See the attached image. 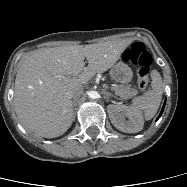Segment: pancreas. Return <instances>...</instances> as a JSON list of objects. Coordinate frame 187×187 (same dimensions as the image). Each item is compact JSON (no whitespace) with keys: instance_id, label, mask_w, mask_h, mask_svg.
<instances>
[{"instance_id":"1","label":"pancreas","mask_w":187,"mask_h":187,"mask_svg":"<svg viewBox=\"0 0 187 187\" xmlns=\"http://www.w3.org/2000/svg\"><path fill=\"white\" fill-rule=\"evenodd\" d=\"M115 94L122 99H129L138 94L136 88L130 86L118 85L114 87Z\"/></svg>"}]
</instances>
